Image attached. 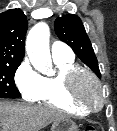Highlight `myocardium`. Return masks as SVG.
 Here are the masks:
<instances>
[{"label":"myocardium","instance_id":"f54148a6","mask_svg":"<svg viewBox=\"0 0 117 131\" xmlns=\"http://www.w3.org/2000/svg\"><path fill=\"white\" fill-rule=\"evenodd\" d=\"M90 80L95 85L97 97L90 99L82 92L83 83ZM66 89L70 98L77 104L87 108L90 111H99L105 104V91L99 78L90 70L78 68L70 72L66 79Z\"/></svg>","mask_w":117,"mask_h":131}]
</instances>
